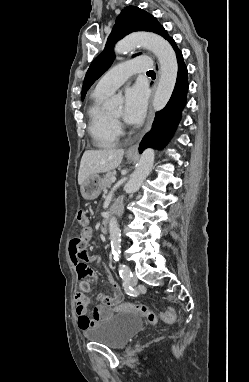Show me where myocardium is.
I'll use <instances>...</instances> for the list:
<instances>
[{
    "label": "myocardium",
    "mask_w": 249,
    "mask_h": 382,
    "mask_svg": "<svg viewBox=\"0 0 249 382\" xmlns=\"http://www.w3.org/2000/svg\"><path fill=\"white\" fill-rule=\"evenodd\" d=\"M112 119L118 124L119 123V118H115L111 115Z\"/></svg>",
    "instance_id": "1"
}]
</instances>
